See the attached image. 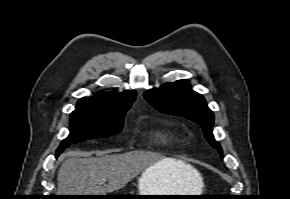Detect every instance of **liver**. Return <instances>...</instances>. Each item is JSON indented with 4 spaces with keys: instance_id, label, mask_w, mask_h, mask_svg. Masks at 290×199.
<instances>
[{
    "instance_id": "6515ba94",
    "label": "liver",
    "mask_w": 290,
    "mask_h": 199,
    "mask_svg": "<svg viewBox=\"0 0 290 199\" xmlns=\"http://www.w3.org/2000/svg\"><path fill=\"white\" fill-rule=\"evenodd\" d=\"M153 165L174 176L173 193H195L196 186L200 184L198 181L194 183L200 174L190 164L173 158H162L153 152L134 150L96 158H68L58 171L57 193L106 195L123 188L139 173ZM106 181L107 185L102 186Z\"/></svg>"
}]
</instances>
